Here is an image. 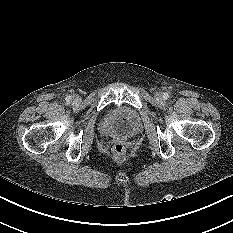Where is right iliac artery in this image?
Returning <instances> with one entry per match:
<instances>
[{
    "label": "right iliac artery",
    "instance_id": "obj_1",
    "mask_svg": "<svg viewBox=\"0 0 233 233\" xmlns=\"http://www.w3.org/2000/svg\"><path fill=\"white\" fill-rule=\"evenodd\" d=\"M70 100H71V96H67L66 101H70Z\"/></svg>",
    "mask_w": 233,
    "mask_h": 233
}]
</instances>
